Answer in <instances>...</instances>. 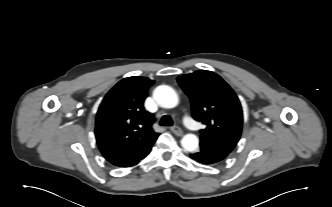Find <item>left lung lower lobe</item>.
<instances>
[{"mask_svg":"<svg viewBox=\"0 0 332 207\" xmlns=\"http://www.w3.org/2000/svg\"><path fill=\"white\" fill-rule=\"evenodd\" d=\"M228 154L229 153L214 147L200 145V149L190 154V157L201 164L210 165L222 161Z\"/></svg>","mask_w":332,"mask_h":207,"instance_id":"0a47b994","label":"left lung lower lobe"}]
</instances>
